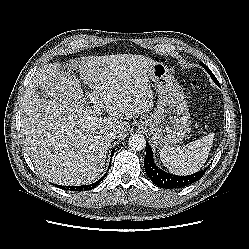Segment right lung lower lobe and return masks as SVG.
Returning <instances> with one entry per match:
<instances>
[{"label":"right lung lower lobe","mask_w":249,"mask_h":249,"mask_svg":"<svg viewBox=\"0 0 249 249\" xmlns=\"http://www.w3.org/2000/svg\"><path fill=\"white\" fill-rule=\"evenodd\" d=\"M115 149L112 150V153H111V158L113 156V153H114ZM110 164H111V159H110ZM104 178V176L99 179L97 182L95 183H92L90 185H84V186H71V187H65V186H59V185H56L62 189H67V190H72V191H85V190H89V189H93L95 188L101 181L102 179Z\"/></svg>","instance_id":"1"}]
</instances>
